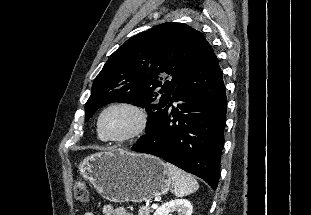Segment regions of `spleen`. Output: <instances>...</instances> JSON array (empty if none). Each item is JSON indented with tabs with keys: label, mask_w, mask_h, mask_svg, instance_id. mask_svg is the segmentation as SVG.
Listing matches in <instances>:
<instances>
[{
	"label": "spleen",
	"mask_w": 311,
	"mask_h": 215,
	"mask_svg": "<svg viewBox=\"0 0 311 215\" xmlns=\"http://www.w3.org/2000/svg\"><path fill=\"white\" fill-rule=\"evenodd\" d=\"M164 165L172 180L176 197H184L198 190L199 184L192 175L170 163Z\"/></svg>",
	"instance_id": "3e777b00"
}]
</instances>
